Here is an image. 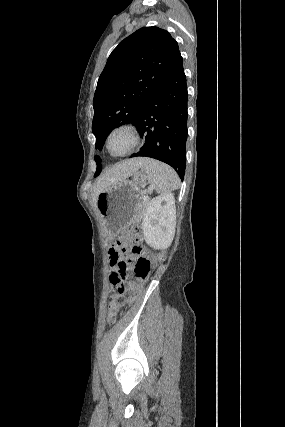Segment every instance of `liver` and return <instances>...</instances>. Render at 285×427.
I'll return each mask as SVG.
<instances>
[{
    "label": "liver",
    "instance_id": "liver-1",
    "mask_svg": "<svg viewBox=\"0 0 285 427\" xmlns=\"http://www.w3.org/2000/svg\"><path fill=\"white\" fill-rule=\"evenodd\" d=\"M145 158H134L115 164L106 170L96 182L92 191V200L96 206L98 195L110 185L132 176L145 163Z\"/></svg>",
    "mask_w": 285,
    "mask_h": 427
}]
</instances>
